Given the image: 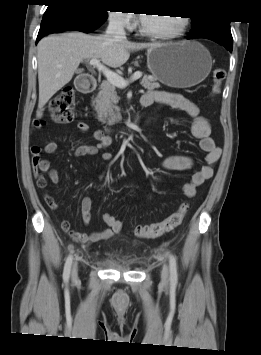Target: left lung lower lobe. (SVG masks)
Returning a JSON list of instances; mask_svg holds the SVG:
<instances>
[{
    "label": "left lung lower lobe",
    "instance_id": "1",
    "mask_svg": "<svg viewBox=\"0 0 261 355\" xmlns=\"http://www.w3.org/2000/svg\"><path fill=\"white\" fill-rule=\"evenodd\" d=\"M186 38L187 39H191V38H206V39L212 40L214 42L220 43L226 49H228L230 52L232 51V48H233L232 35L231 36H224V35H217V34H207V35H201V36H198V37H192L191 35H188Z\"/></svg>",
    "mask_w": 261,
    "mask_h": 355
}]
</instances>
